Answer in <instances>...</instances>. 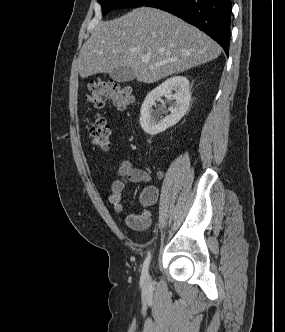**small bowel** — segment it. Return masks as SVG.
<instances>
[{
	"label": "small bowel",
	"instance_id": "obj_1",
	"mask_svg": "<svg viewBox=\"0 0 285 332\" xmlns=\"http://www.w3.org/2000/svg\"><path fill=\"white\" fill-rule=\"evenodd\" d=\"M156 177L158 180H161L163 173L161 171L157 172ZM150 180L151 176L147 171L133 167L130 159L125 160L120 166L117 177L111 183V190L107 197L113 211L117 214L123 212V190L127 183H149ZM158 195L157 187L148 185L141 193V204L144 207L152 206L156 203ZM127 223L134 229L146 228L150 223L149 212L144 210L140 213H132L127 217Z\"/></svg>",
	"mask_w": 285,
	"mask_h": 332
}]
</instances>
